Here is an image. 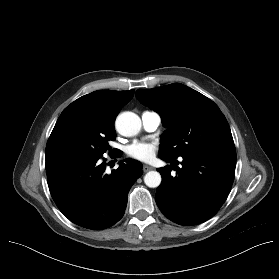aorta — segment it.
Here are the masks:
<instances>
[{"mask_svg":"<svg viewBox=\"0 0 279 279\" xmlns=\"http://www.w3.org/2000/svg\"><path fill=\"white\" fill-rule=\"evenodd\" d=\"M115 126L119 134L125 137H132L141 130V119L133 112H123L119 114L115 121ZM144 183L150 188H156L161 183V175L157 171H149L144 176Z\"/></svg>","mask_w":279,"mask_h":279,"instance_id":"1","label":"aorta"}]
</instances>
